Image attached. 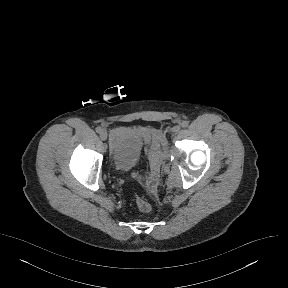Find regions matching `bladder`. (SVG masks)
Instances as JSON below:
<instances>
[{
    "mask_svg": "<svg viewBox=\"0 0 288 288\" xmlns=\"http://www.w3.org/2000/svg\"><path fill=\"white\" fill-rule=\"evenodd\" d=\"M153 151L149 133L138 127H117L109 135V158L119 171H130L144 153Z\"/></svg>",
    "mask_w": 288,
    "mask_h": 288,
    "instance_id": "31cf9c89",
    "label": "bladder"
}]
</instances>
